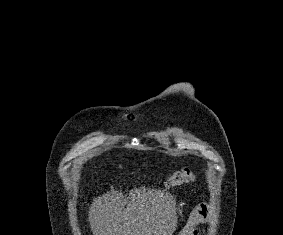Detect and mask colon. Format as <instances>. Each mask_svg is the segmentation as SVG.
Masks as SVG:
<instances>
[{
	"instance_id": "5ec220e1",
	"label": "colon",
	"mask_w": 283,
	"mask_h": 235,
	"mask_svg": "<svg viewBox=\"0 0 283 235\" xmlns=\"http://www.w3.org/2000/svg\"><path fill=\"white\" fill-rule=\"evenodd\" d=\"M194 173L190 168H182L178 171H175L168 179V186H179L184 183H189L194 181ZM190 230L183 229L181 235H189Z\"/></svg>"
}]
</instances>
